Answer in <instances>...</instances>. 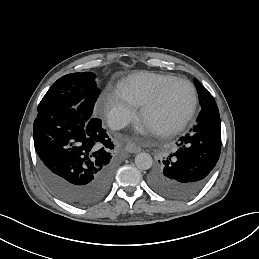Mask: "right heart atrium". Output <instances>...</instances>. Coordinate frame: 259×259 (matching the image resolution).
I'll return each mask as SVG.
<instances>
[{
    "label": "right heart atrium",
    "mask_w": 259,
    "mask_h": 259,
    "mask_svg": "<svg viewBox=\"0 0 259 259\" xmlns=\"http://www.w3.org/2000/svg\"><path fill=\"white\" fill-rule=\"evenodd\" d=\"M101 115L114 128H122L136 120L140 106L122 88L106 86L99 96Z\"/></svg>",
    "instance_id": "right-heart-atrium-1"
}]
</instances>
